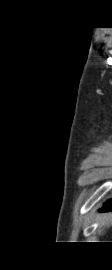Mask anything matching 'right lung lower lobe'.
I'll return each mask as SVG.
<instances>
[{
    "instance_id": "right-lung-lower-lobe-1",
    "label": "right lung lower lobe",
    "mask_w": 112,
    "mask_h": 270,
    "mask_svg": "<svg viewBox=\"0 0 112 270\" xmlns=\"http://www.w3.org/2000/svg\"><path fill=\"white\" fill-rule=\"evenodd\" d=\"M108 210H112V200L109 201L107 204H105L100 211H108Z\"/></svg>"
}]
</instances>
